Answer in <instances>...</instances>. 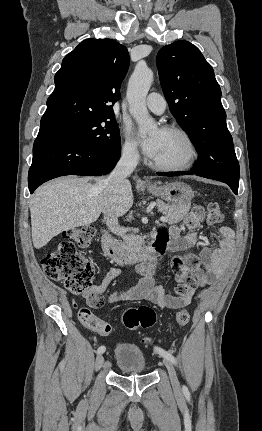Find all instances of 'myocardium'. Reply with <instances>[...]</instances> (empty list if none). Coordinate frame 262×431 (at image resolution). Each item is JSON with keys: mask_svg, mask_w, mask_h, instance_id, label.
<instances>
[{"mask_svg": "<svg viewBox=\"0 0 262 431\" xmlns=\"http://www.w3.org/2000/svg\"><path fill=\"white\" fill-rule=\"evenodd\" d=\"M162 130L180 136L186 142L187 154L185 158L177 164H162L151 159L149 161L151 167L165 172H178L189 169L197 157V147L192 136L185 129L177 125H165L162 127Z\"/></svg>", "mask_w": 262, "mask_h": 431, "instance_id": "obj_1", "label": "myocardium"}]
</instances>
